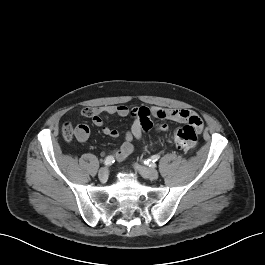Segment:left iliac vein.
<instances>
[{
	"label": "left iliac vein",
	"instance_id": "obj_1",
	"mask_svg": "<svg viewBox=\"0 0 265 265\" xmlns=\"http://www.w3.org/2000/svg\"><path fill=\"white\" fill-rule=\"evenodd\" d=\"M135 169L146 179L156 180L159 177V173L152 168H148L142 165H134Z\"/></svg>",
	"mask_w": 265,
	"mask_h": 265
}]
</instances>
